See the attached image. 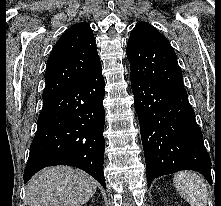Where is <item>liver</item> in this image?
Masks as SVG:
<instances>
[{"label": "liver", "mask_w": 221, "mask_h": 206, "mask_svg": "<svg viewBox=\"0 0 221 206\" xmlns=\"http://www.w3.org/2000/svg\"><path fill=\"white\" fill-rule=\"evenodd\" d=\"M96 181L79 169L57 166L43 169L27 186L29 206H81L94 195Z\"/></svg>", "instance_id": "1"}]
</instances>
